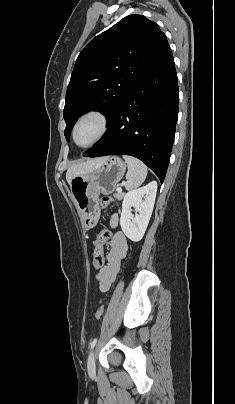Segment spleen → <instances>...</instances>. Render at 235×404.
<instances>
[{
  "label": "spleen",
  "instance_id": "3e777b00",
  "mask_svg": "<svg viewBox=\"0 0 235 404\" xmlns=\"http://www.w3.org/2000/svg\"><path fill=\"white\" fill-rule=\"evenodd\" d=\"M123 158L128 166L125 187L127 190H133L139 187L145 181L147 176V167L143 162L135 157L124 155Z\"/></svg>",
  "mask_w": 235,
  "mask_h": 404
}]
</instances>
